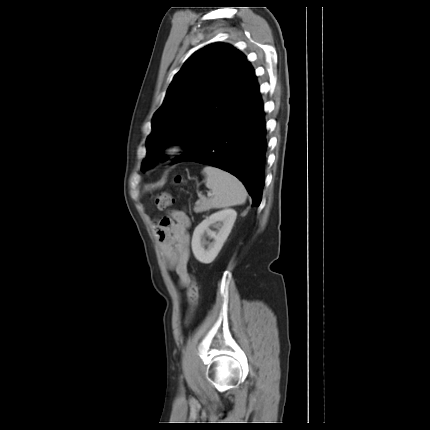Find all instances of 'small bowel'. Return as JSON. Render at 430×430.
<instances>
[{"mask_svg":"<svg viewBox=\"0 0 430 430\" xmlns=\"http://www.w3.org/2000/svg\"><path fill=\"white\" fill-rule=\"evenodd\" d=\"M190 220L181 210H173L163 217L156 226V236L167 268L179 278L180 287H186L190 281L188 271Z\"/></svg>","mask_w":430,"mask_h":430,"instance_id":"obj_1","label":"small bowel"}]
</instances>
